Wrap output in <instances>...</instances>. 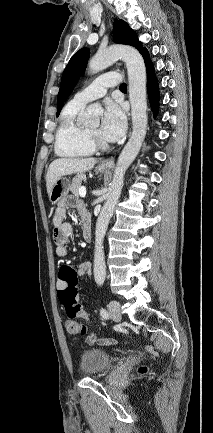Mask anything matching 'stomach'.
<instances>
[{
    "label": "stomach",
    "instance_id": "obj_1",
    "mask_svg": "<svg viewBox=\"0 0 213 433\" xmlns=\"http://www.w3.org/2000/svg\"><path fill=\"white\" fill-rule=\"evenodd\" d=\"M108 168L103 167L102 165H99L96 167V171L99 172H106ZM70 181L66 177L59 178L55 184L53 185L51 191L48 193L49 201L52 204H56L59 202L62 198L66 197L69 190H70Z\"/></svg>",
    "mask_w": 213,
    "mask_h": 433
}]
</instances>
